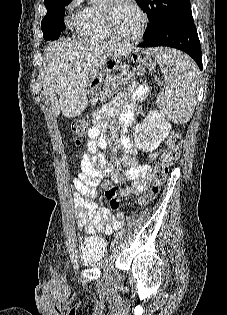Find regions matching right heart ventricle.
Instances as JSON below:
<instances>
[{
  "label": "right heart ventricle",
  "instance_id": "1",
  "mask_svg": "<svg viewBox=\"0 0 227 315\" xmlns=\"http://www.w3.org/2000/svg\"><path fill=\"white\" fill-rule=\"evenodd\" d=\"M72 23L76 32L84 39L112 40L104 27L101 6L89 5L78 9L73 15Z\"/></svg>",
  "mask_w": 227,
  "mask_h": 315
}]
</instances>
